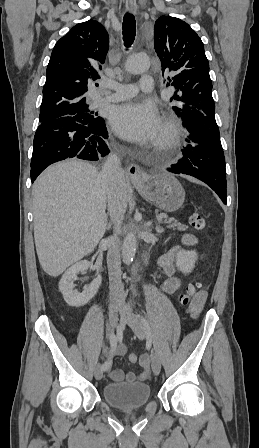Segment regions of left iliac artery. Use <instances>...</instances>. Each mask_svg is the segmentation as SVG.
<instances>
[{"label": "left iliac artery", "instance_id": "left-iliac-artery-1", "mask_svg": "<svg viewBox=\"0 0 259 448\" xmlns=\"http://www.w3.org/2000/svg\"><path fill=\"white\" fill-rule=\"evenodd\" d=\"M143 319V322L145 323V324H147V321H146V319L145 318H142Z\"/></svg>", "mask_w": 259, "mask_h": 448}]
</instances>
